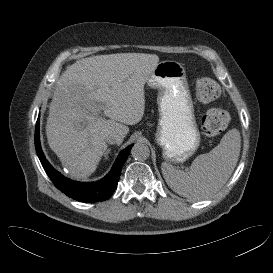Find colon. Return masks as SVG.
Instances as JSON below:
<instances>
[{
    "label": "colon",
    "mask_w": 273,
    "mask_h": 273,
    "mask_svg": "<svg viewBox=\"0 0 273 273\" xmlns=\"http://www.w3.org/2000/svg\"><path fill=\"white\" fill-rule=\"evenodd\" d=\"M194 88L197 97L201 101H212L220 94L218 84L208 77H198ZM228 125V114L226 111L214 108L205 113L201 121V130L207 136H216L222 133Z\"/></svg>",
    "instance_id": "colon-1"
}]
</instances>
